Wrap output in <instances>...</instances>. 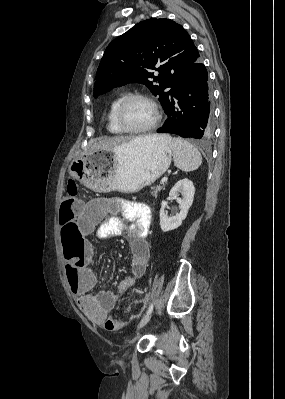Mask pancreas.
<instances>
[{"mask_svg": "<svg viewBox=\"0 0 285 399\" xmlns=\"http://www.w3.org/2000/svg\"><path fill=\"white\" fill-rule=\"evenodd\" d=\"M165 186V184L164 183H162L161 185H158V186H155V187H153L152 188V192H151V194L153 195V196H157V193L159 192V191H161L162 189H163V187Z\"/></svg>", "mask_w": 285, "mask_h": 399, "instance_id": "obj_1", "label": "pancreas"}]
</instances>
